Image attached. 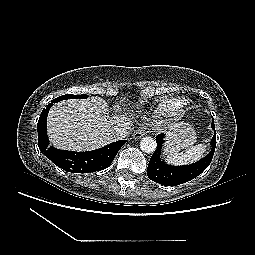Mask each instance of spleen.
<instances>
[{
  "label": "spleen",
  "instance_id": "3e777b00",
  "mask_svg": "<svg viewBox=\"0 0 255 255\" xmlns=\"http://www.w3.org/2000/svg\"><path fill=\"white\" fill-rule=\"evenodd\" d=\"M206 151L205 144H198L187 148L185 152L169 154L166 161L173 165H186L193 163L203 157Z\"/></svg>",
  "mask_w": 255,
  "mask_h": 255
}]
</instances>
